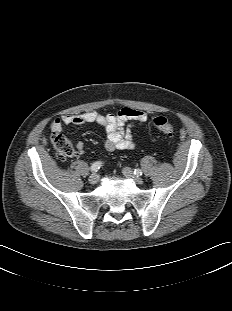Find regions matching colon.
Masks as SVG:
<instances>
[{
  "mask_svg": "<svg viewBox=\"0 0 232 311\" xmlns=\"http://www.w3.org/2000/svg\"><path fill=\"white\" fill-rule=\"evenodd\" d=\"M153 124L168 137H173L175 135L173 125L165 117L159 116L154 118ZM52 143L61 159H67L74 156L75 148L72 142L61 133H55L52 135Z\"/></svg>",
  "mask_w": 232,
  "mask_h": 311,
  "instance_id": "1",
  "label": "colon"
}]
</instances>
